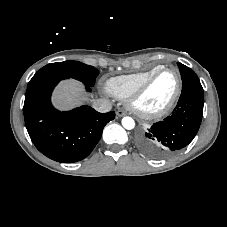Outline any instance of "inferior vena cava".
I'll return each mask as SVG.
<instances>
[{
    "mask_svg": "<svg viewBox=\"0 0 227 227\" xmlns=\"http://www.w3.org/2000/svg\"><path fill=\"white\" fill-rule=\"evenodd\" d=\"M93 108L98 112L106 113L112 109V103L107 99H97L93 102Z\"/></svg>",
    "mask_w": 227,
    "mask_h": 227,
    "instance_id": "602c4592",
    "label": "inferior vena cava"
}]
</instances>
